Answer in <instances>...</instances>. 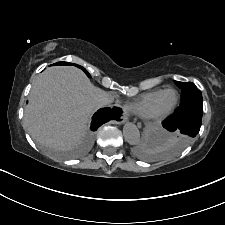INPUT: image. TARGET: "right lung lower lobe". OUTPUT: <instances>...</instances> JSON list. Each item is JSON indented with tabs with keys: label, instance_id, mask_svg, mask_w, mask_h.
Returning <instances> with one entry per match:
<instances>
[{
	"label": "right lung lower lobe",
	"instance_id": "right-lung-lower-lobe-1",
	"mask_svg": "<svg viewBox=\"0 0 225 225\" xmlns=\"http://www.w3.org/2000/svg\"><path fill=\"white\" fill-rule=\"evenodd\" d=\"M117 116V113L115 109L110 108H103L100 109L95 113L93 116V120L91 123V129L93 131L97 130L99 126H101L103 123L109 121L110 119H113Z\"/></svg>",
	"mask_w": 225,
	"mask_h": 225
}]
</instances>
